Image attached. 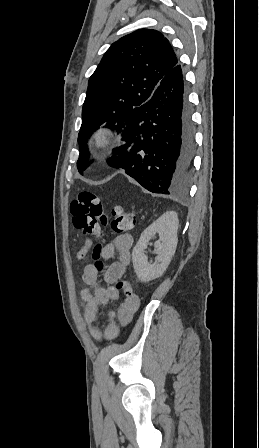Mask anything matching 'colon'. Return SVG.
I'll list each match as a JSON object with an SVG mask.
<instances>
[{"mask_svg":"<svg viewBox=\"0 0 259 448\" xmlns=\"http://www.w3.org/2000/svg\"><path fill=\"white\" fill-rule=\"evenodd\" d=\"M70 211L74 226L86 237L87 242L98 241L102 236V227L109 226L115 233H123L135 226V215L120 205L112 207L109 214L104 210L101 199L90 191H81L72 201ZM88 244L81 249L80 257L85 256ZM103 246L97 242L93 248L94 266L102 271L104 264L101 260ZM116 288L122 291L125 300L135 296L134 285L128 280H120Z\"/></svg>","mask_w":259,"mask_h":448,"instance_id":"5ec220e1","label":"colon"}]
</instances>
